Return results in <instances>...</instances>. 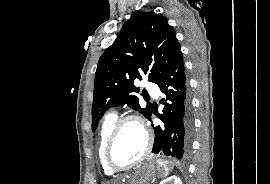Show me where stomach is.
<instances>
[{
  "label": "stomach",
  "instance_id": "stomach-1",
  "mask_svg": "<svg viewBox=\"0 0 270 184\" xmlns=\"http://www.w3.org/2000/svg\"><path fill=\"white\" fill-rule=\"evenodd\" d=\"M173 169L171 162L149 160L119 184H148L154 177H164Z\"/></svg>",
  "mask_w": 270,
  "mask_h": 184
}]
</instances>
